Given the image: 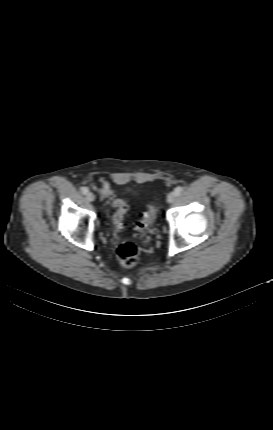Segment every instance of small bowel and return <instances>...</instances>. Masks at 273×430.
Returning <instances> with one entry per match:
<instances>
[{
	"label": "small bowel",
	"instance_id": "small-bowel-1",
	"mask_svg": "<svg viewBox=\"0 0 273 430\" xmlns=\"http://www.w3.org/2000/svg\"><path fill=\"white\" fill-rule=\"evenodd\" d=\"M99 193L103 198H108L114 194V190L111 188L110 184L106 180H102L100 187H99Z\"/></svg>",
	"mask_w": 273,
	"mask_h": 430
}]
</instances>
